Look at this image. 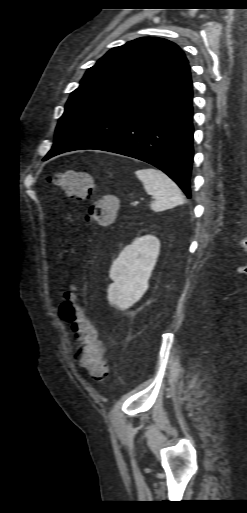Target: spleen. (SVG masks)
Listing matches in <instances>:
<instances>
[{
  "label": "spleen",
  "instance_id": "3e777b00",
  "mask_svg": "<svg viewBox=\"0 0 247 513\" xmlns=\"http://www.w3.org/2000/svg\"><path fill=\"white\" fill-rule=\"evenodd\" d=\"M143 183L145 191L154 197L150 208L154 212L164 211L185 202L179 187L165 173L154 168H141L135 171Z\"/></svg>",
  "mask_w": 247,
  "mask_h": 513
}]
</instances>
